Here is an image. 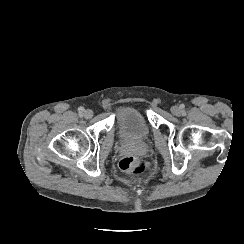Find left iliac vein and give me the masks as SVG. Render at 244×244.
<instances>
[{
    "instance_id": "left-iliac-vein-1",
    "label": "left iliac vein",
    "mask_w": 244,
    "mask_h": 244,
    "mask_svg": "<svg viewBox=\"0 0 244 244\" xmlns=\"http://www.w3.org/2000/svg\"><path fill=\"white\" fill-rule=\"evenodd\" d=\"M171 113L175 116L181 115V109L178 106H172L171 107Z\"/></svg>"
}]
</instances>
